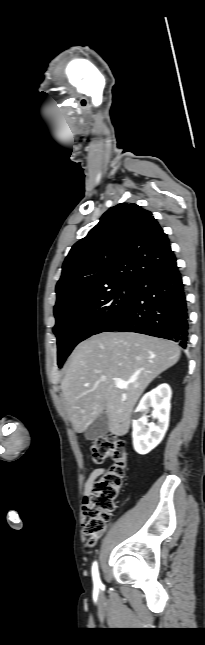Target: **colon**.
<instances>
[{"instance_id":"obj_1","label":"colon","mask_w":205,"mask_h":645,"mask_svg":"<svg viewBox=\"0 0 205 645\" xmlns=\"http://www.w3.org/2000/svg\"><path fill=\"white\" fill-rule=\"evenodd\" d=\"M92 460L102 464L113 460L108 471L94 484L83 504V531L86 543L93 547L106 529L115 509L128 466L124 443L111 437L96 439L90 448Z\"/></svg>"}]
</instances>
